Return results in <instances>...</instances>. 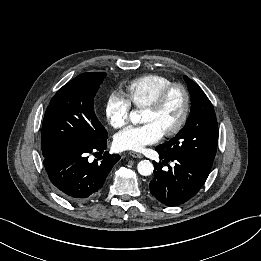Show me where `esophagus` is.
I'll return each instance as SVG.
<instances>
[{"label":"esophagus","instance_id":"obj_1","mask_svg":"<svg viewBox=\"0 0 261 261\" xmlns=\"http://www.w3.org/2000/svg\"><path fill=\"white\" fill-rule=\"evenodd\" d=\"M129 154H130L132 157H134V158H143V155L140 154V153H137V152L131 151V152H129Z\"/></svg>","mask_w":261,"mask_h":261}]
</instances>
